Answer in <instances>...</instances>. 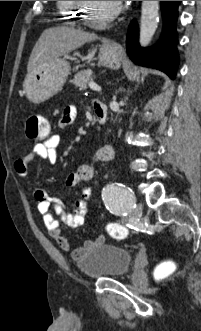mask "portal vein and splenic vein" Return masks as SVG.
I'll return each instance as SVG.
<instances>
[{
	"label": "portal vein and splenic vein",
	"mask_w": 201,
	"mask_h": 331,
	"mask_svg": "<svg viewBox=\"0 0 201 331\" xmlns=\"http://www.w3.org/2000/svg\"><path fill=\"white\" fill-rule=\"evenodd\" d=\"M89 87L92 89V90H94V91H101V87L100 86H98L96 83H94V82H89Z\"/></svg>",
	"instance_id": "portal-vein-and-splenic-vein-1"
}]
</instances>
